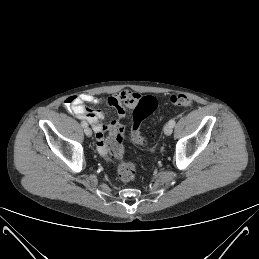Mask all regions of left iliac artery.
<instances>
[{
  "label": "left iliac artery",
  "mask_w": 259,
  "mask_h": 259,
  "mask_svg": "<svg viewBox=\"0 0 259 259\" xmlns=\"http://www.w3.org/2000/svg\"><path fill=\"white\" fill-rule=\"evenodd\" d=\"M175 120L174 119H171L170 121H169V124L172 126V127H174L175 126Z\"/></svg>",
  "instance_id": "obj_1"
}]
</instances>
